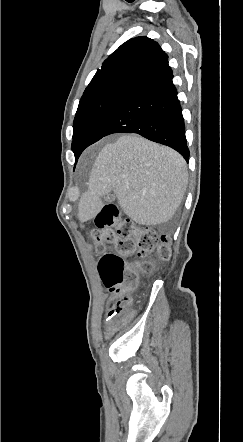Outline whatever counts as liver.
<instances>
[{"label":"liver","mask_w":243,"mask_h":442,"mask_svg":"<svg viewBox=\"0 0 243 442\" xmlns=\"http://www.w3.org/2000/svg\"><path fill=\"white\" fill-rule=\"evenodd\" d=\"M187 184V164L178 152L138 135H122L98 154L90 188L79 201L78 219L96 217L103 208L101 197L113 191L137 224L166 223L181 204Z\"/></svg>","instance_id":"liver-1"}]
</instances>
